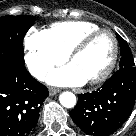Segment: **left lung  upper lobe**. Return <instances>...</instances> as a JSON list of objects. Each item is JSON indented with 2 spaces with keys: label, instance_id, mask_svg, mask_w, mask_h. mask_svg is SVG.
I'll return each instance as SVG.
<instances>
[{
  "label": "left lung upper lobe",
  "instance_id": "obj_1",
  "mask_svg": "<svg viewBox=\"0 0 136 136\" xmlns=\"http://www.w3.org/2000/svg\"><path fill=\"white\" fill-rule=\"evenodd\" d=\"M116 36L121 49L120 69L135 67L133 56L127 42L120 35L117 34Z\"/></svg>",
  "mask_w": 136,
  "mask_h": 136
}]
</instances>
